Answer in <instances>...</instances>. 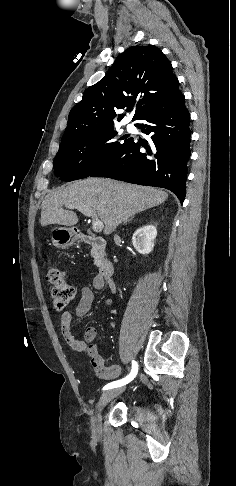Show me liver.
I'll use <instances>...</instances> for the list:
<instances>
[{
  "label": "liver",
  "mask_w": 236,
  "mask_h": 486,
  "mask_svg": "<svg viewBox=\"0 0 236 486\" xmlns=\"http://www.w3.org/2000/svg\"><path fill=\"white\" fill-rule=\"evenodd\" d=\"M168 198L165 191L103 178L75 181L47 194L41 204V226L59 224L73 226L78 216L64 210L92 208L104 222V234L109 235L123 221L136 213L162 204Z\"/></svg>",
  "instance_id": "liver-1"
}]
</instances>
